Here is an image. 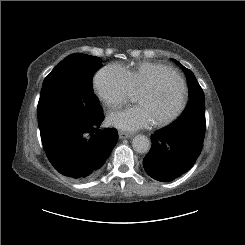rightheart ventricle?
<instances>
[{"label":"right heart ventricle","instance_id":"right-heart-ventricle-1","mask_svg":"<svg viewBox=\"0 0 245 245\" xmlns=\"http://www.w3.org/2000/svg\"><path fill=\"white\" fill-rule=\"evenodd\" d=\"M166 69L168 67L162 64L142 62L126 71L133 85L134 92H141L145 87L154 84L159 74Z\"/></svg>","mask_w":245,"mask_h":245}]
</instances>
